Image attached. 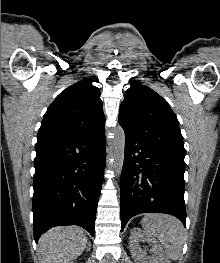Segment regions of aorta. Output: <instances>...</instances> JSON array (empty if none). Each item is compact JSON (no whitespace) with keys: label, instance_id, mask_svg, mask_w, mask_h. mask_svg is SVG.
I'll return each mask as SVG.
<instances>
[{"label":"aorta","instance_id":"obj_1","mask_svg":"<svg viewBox=\"0 0 220 263\" xmlns=\"http://www.w3.org/2000/svg\"><path fill=\"white\" fill-rule=\"evenodd\" d=\"M114 168L118 175L121 174L124 157H125V133L121 127H117L114 131Z\"/></svg>","mask_w":220,"mask_h":263}]
</instances>
